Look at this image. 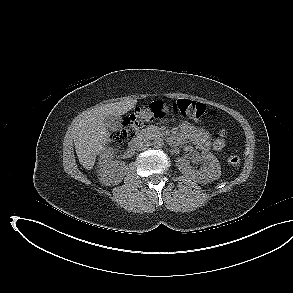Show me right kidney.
Wrapping results in <instances>:
<instances>
[{"mask_svg": "<svg viewBox=\"0 0 293 293\" xmlns=\"http://www.w3.org/2000/svg\"><path fill=\"white\" fill-rule=\"evenodd\" d=\"M126 169L124 162L114 161L112 154H105L99 161L98 175L100 182L105 185L117 184L121 180V174Z\"/></svg>", "mask_w": 293, "mask_h": 293, "instance_id": "obj_1", "label": "right kidney"}]
</instances>
